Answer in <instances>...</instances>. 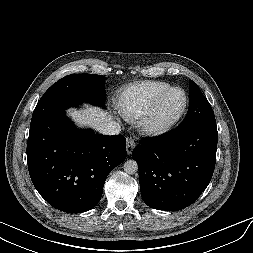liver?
I'll return each mask as SVG.
<instances>
[{
    "mask_svg": "<svg viewBox=\"0 0 253 253\" xmlns=\"http://www.w3.org/2000/svg\"><path fill=\"white\" fill-rule=\"evenodd\" d=\"M70 115L80 125H88L97 129L100 123L111 121V116L107 112L97 107L86 106L80 111L69 110Z\"/></svg>",
    "mask_w": 253,
    "mask_h": 253,
    "instance_id": "1",
    "label": "liver"
}]
</instances>
